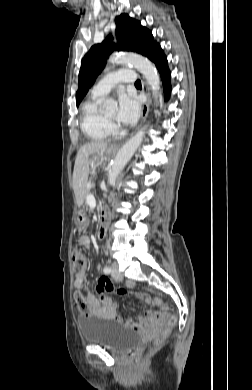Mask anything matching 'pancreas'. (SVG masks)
Instances as JSON below:
<instances>
[{
  "label": "pancreas",
  "mask_w": 252,
  "mask_h": 390,
  "mask_svg": "<svg viewBox=\"0 0 252 390\" xmlns=\"http://www.w3.org/2000/svg\"><path fill=\"white\" fill-rule=\"evenodd\" d=\"M88 192H89V191H88ZM83 205H84V207H83V210H84V211H88V210H89V211H92V208H89V207H88L89 202L84 201V202H83Z\"/></svg>",
  "instance_id": "pancreas-1"
}]
</instances>
